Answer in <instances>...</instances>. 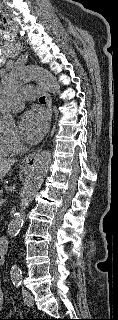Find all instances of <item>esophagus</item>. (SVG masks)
<instances>
[{"instance_id":"34e87169","label":"esophagus","mask_w":118,"mask_h":320,"mask_svg":"<svg viewBox=\"0 0 118 320\" xmlns=\"http://www.w3.org/2000/svg\"><path fill=\"white\" fill-rule=\"evenodd\" d=\"M45 98H46V106L49 112V116H50V121H51V117H52V98L50 96V94L45 90L42 89ZM41 148L37 149L36 151L26 155L21 162V167L25 168V169H30L34 166L35 162H36V158L40 152Z\"/></svg>"}]
</instances>
